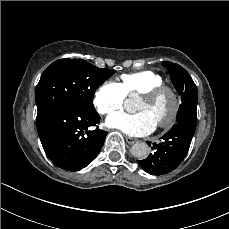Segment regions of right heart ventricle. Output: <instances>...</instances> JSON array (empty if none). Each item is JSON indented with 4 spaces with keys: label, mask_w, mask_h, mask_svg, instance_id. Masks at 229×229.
Masks as SVG:
<instances>
[{
    "label": "right heart ventricle",
    "mask_w": 229,
    "mask_h": 229,
    "mask_svg": "<svg viewBox=\"0 0 229 229\" xmlns=\"http://www.w3.org/2000/svg\"><path fill=\"white\" fill-rule=\"evenodd\" d=\"M165 84L164 78L150 70L123 74L119 84L125 96L142 95L147 90Z\"/></svg>",
    "instance_id": "right-heart-ventricle-1"
}]
</instances>
